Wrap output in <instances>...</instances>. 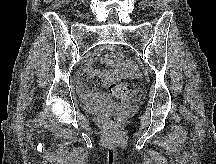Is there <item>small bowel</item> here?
<instances>
[{
    "instance_id": "small-bowel-1",
    "label": "small bowel",
    "mask_w": 216,
    "mask_h": 164,
    "mask_svg": "<svg viewBox=\"0 0 216 164\" xmlns=\"http://www.w3.org/2000/svg\"><path fill=\"white\" fill-rule=\"evenodd\" d=\"M102 62L107 66L106 69H95L88 64L84 75L77 77V85L82 98L86 103L96 110L103 109L108 103V97L97 88L101 80L118 81L133 77L137 73V68L123 58V53L119 48H113L111 53L102 56Z\"/></svg>"
}]
</instances>
